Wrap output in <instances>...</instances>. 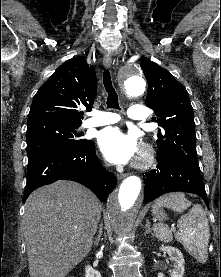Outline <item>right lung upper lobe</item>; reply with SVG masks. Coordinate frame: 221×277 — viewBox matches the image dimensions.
I'll return each instance as SVG.
<instances>
[{
	"mask_svg": "<svg viewBox=\"0 0 221 277\" xmlns=\"http://www.w3.org/2000/svg\"><path fill=\"white\" fill-rule=\"evenodd\" d=\"M97 94L96 73L82 57L64 62L34 96L28 125L80 124V106L91 108Z\"/></svg>",
	"mask_w": 221,
	"mask_h": 277,
	"instance_id": "right-lung-upper-lobe-1",
	"label": "right lung upper lobe"
}]
</instances>
